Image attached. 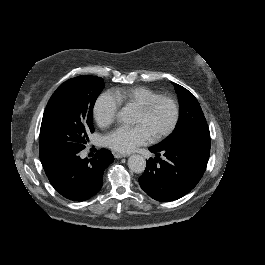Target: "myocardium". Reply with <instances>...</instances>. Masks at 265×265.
Segmentation results:
<instances>
[{"instance_id": "obj_1", "label": "myocardium", "mask_w": 265, "mask_h": 265, "mask_svg": "<svg viewBox=\"0 0 265 265\" xmlns=\"http://www.w3.org/2000/svg\"><path fill=\"white\" fill-rule=\"evenodd\" d=\"M159 102L168 103L172 107L173 115H172V119L170 123L163 130H161L158 134L153 136L152 142H158L162 140L163 138H165L166 136H168L170 133H172L178 123L179 116H180V108H179L178 102L175 99L169 96H165V95H158L156 97L151 98L150 100L145 102L137 110V112L142 115H147L152 111L155 105Z\"/></svg>"}]
</instances>
